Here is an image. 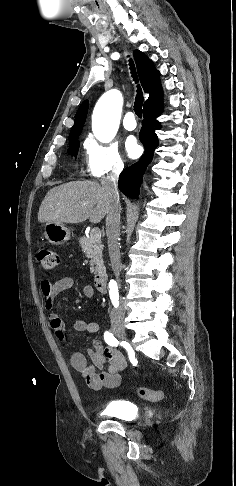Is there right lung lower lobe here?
Segmentation results:
<instances>
[{
	"mask_svg": "<svg viewBox=\"0 0 236 486\" xmlns=\"http://www.w3.org/2000/svg\"><path fill=\"white\" fill-rule=\"evenodd\" d=\"M163 110L162 96L144 105L143 127L139 133L140 141L145 147V152L138 162L125 168L118 182V187L126 196L138 199L139 188L142 183L144 172L151 162L154 151L158 146V137L155 130H159L161 124L157 121Z\"/></svg>",
	"mask_w": 236,
	"mask_h": 486,
	"instance_id": "1",
	"label": "right lung lower lobe"
}]
</instances>
